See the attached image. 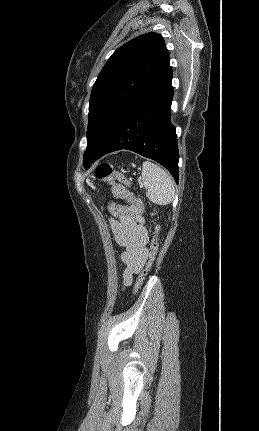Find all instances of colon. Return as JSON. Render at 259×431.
Instances as JSON below:
<instances>
[{"label": "colon", "instance_id": "5ec220e1", "mask_svg": "<svg viewBox=\"0 0 259 431\" xmlns=\"http://www.w3.org/2000/svg\"><path fill=\"white\" fill-rule=\"evenodd\" d=\"M95 175L99 180L106 181L111 185L113 194L128 202H116V204L110 203L108 205L109 215L116 217L118 220L124 219H136L143 215L145 211V205L140 200H136L131 192L129 191V183L124 175L116 171L109 163H101L95 169ZM158 240L156 237L153 238L149 248L148 259L145 263L144 268L141 270L137 277L135 284V294H137L147 275L151 271L158 252Z\"/></svg>", "mask_w": 259, "mask_h": 431}]
</instances>
